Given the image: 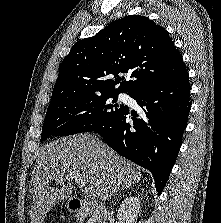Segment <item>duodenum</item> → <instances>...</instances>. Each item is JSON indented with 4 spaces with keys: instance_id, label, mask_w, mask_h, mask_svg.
<instances>
[{
    "instance_id": "duodenum-1",
    "label": "duodenum",
    "mask_w": 221,
    "mask_h": 223,
    "mask_svg": "<svg viewBox=\"0 0 221 223\" xmlns=\"http://www.w3.org/2000/svg\"><path fill=\"white\" fill-rule=\"evenodd\" d=\"M69 207L78 221L92 219L94 223H109V213L104 205L72 198Z\"/></svg>"
}]
</instances>
